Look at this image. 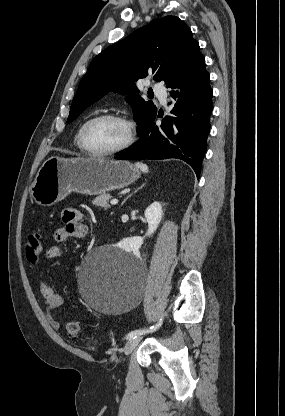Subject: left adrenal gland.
Wrapping results in <instances>:
<instances>
[{
    "instance_id": "left-adrenal-gland-1",
    "label": "left adrenal gland",
    "mask_w": 285,
    "mask_h": 416,
    "mask_svg": "<svg viewBox=\"0 0 285 416\" xmlns=\"http://www.w3.org/2000/svg\"><path fill=\"white\" fill-rule=\"evenodd\" d=\"M143 186H145V184H142V186H140V188H137V190H135V192H138V190H141V188H143ZM135 192H133V194H135ZM130 196H132V194H130ZM130 196H127V198H125V200H123L122 206H123L124 202H126V200H128V198H130Z\"/></svg>"
}]
</instances>
